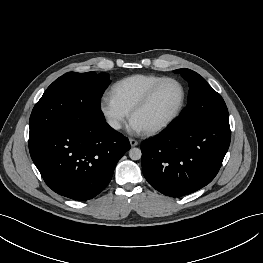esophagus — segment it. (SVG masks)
I'll list each match as a JSON object with an SVG mask.
<instances>
[{
    "mask_svg": "<svg viewBox=\"0 0 263 263\" xmlns=\"http://www.w3.org/2000/svg\"><path fill=\"white\" fill-rule=\"evenodd\" d=\"M129 142H130V145H131L132 147H134V146H137V145H138V141H137V140H135V139H130V140H129Z\"/></svg>",
    "mask_w": 263,
    "mask_h": 263,
    "instance_id": "obj_1",
    "label": "esophagus"
}]
</instances>
